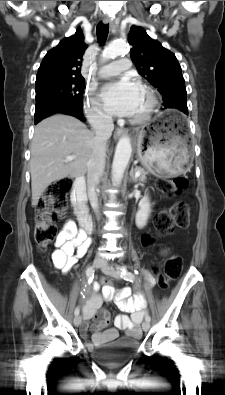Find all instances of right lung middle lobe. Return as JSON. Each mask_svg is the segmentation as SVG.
Returning <instances> with one entry per match:
<instances>
[{"label": "right lung middle lobe", "instance_id": "1", "mask_svg": "<svg viewBox=\"0 0 225 395\" xmlns=\"http://www.w3.org/2000/svg\"><path fill=\"white\" fill-rule=\"evenodd\" d=\"M84 91L83 80H59L36 85L35 114L59 103H82Z\"/></svg>", "mask_w": 225, "mask_h": 395}]
</instances>
